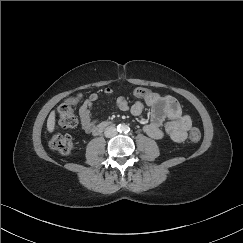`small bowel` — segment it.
<instances>
[{"instance_id":"small-bowel-1","label":"small bowel","mask_w":243,"mask_h":243,"mask_svg":"<svg viewBox=\"0 0 243 243\" xmlns=\"http://www.w3.org/2000/svg\"><path fill=\"white\" fill-rule=\"evenodd\" d=\"M141 95L135 96L141 100L129 104L123 97H118L113 101V106L117 110L128 111L133 116H139L144 109H150V121L144 126L145 133L153 139H161L169 136L175 142H182L186 139V132L192 125L190 115L183 112L178 101L169 95H162L148 90H144ZM113 89L107 87L103 90V95L111 96ZM100 100V94L92 93L79 108V117L82 128L86 132L95 130L98 120L93 114V106ZM165 119L168 122L163 126Z\"/></svg>"}]
</instances>
